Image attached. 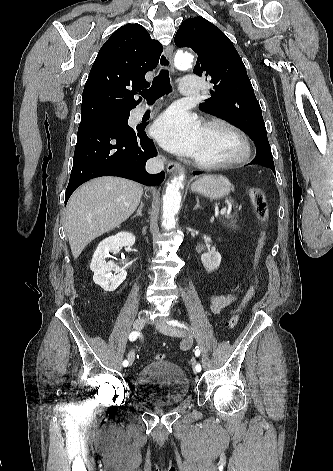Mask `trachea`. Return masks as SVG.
Masks as SVG:
<instances>
[{
    "instance_id": "1",
    "label": "trachea",
    "mask_w": 333,
    "mask_h": 471,
    "mask_svg": "<svg viewBox=\"0 0 333 471\" xmlns=\"http://www.w3.org/2000/svg\"><path fill=\"white\" fill-rule=\"evenodd\" d=\"M170 92L171 84L169 72L167 69H162L160 73L154 78L152 86L148 90H143L141 95L147 100V102L151 103L155 102L164 94H168Z\"/></svg>"
}]
</instances>
